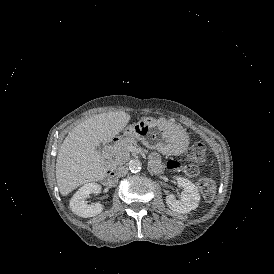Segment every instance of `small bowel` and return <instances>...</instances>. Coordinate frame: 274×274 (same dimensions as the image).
<instances>
[{
    "mask_svg": "<svg viewBox=\"0 0 274 274\" xmlns=\"http://www.w3.org/2000/svg\"><path fill=\"white\" fill-rule=\"evenodd\" d=\"M151 164L155 168H157L159 166V161H158L156 155L151 156Z\"/></svg>",
    "mask_w": 274,
    "mask_h": 274,
    "instance_id": "1",
    "label": "small bowel"
}]
</instances>
